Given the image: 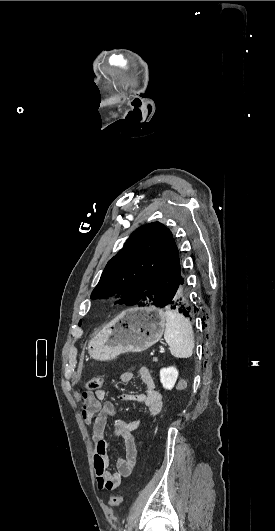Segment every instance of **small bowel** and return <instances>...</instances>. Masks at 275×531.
I'll list each match as a JSON object with an SVG mask.
<instances>
[{
    "label": "small bowel",
    "instance_id": "small-bowel-1",
    "mask_svg": "<svg viewBox=\"0 0 275 531\" xmlns=\"http://www.w3.org/2000/svg\"><path fill=\"white\" fill-rule=\"evenodd\" d=\"M139 377L145 387L143 393L128 392L123 394L125 402L141 403L151 417H156L162 409V395L156 387L150 370L146 367L139 369ZM133 379L130 371L120 376L122 383H129ZM106 391L100 389L95 392L84 393L82 400L84 409L82 417L87 425H92V440L94 444L93 464L100 489L114 490L118 488L122 479L129 477L137 461V446L133 432L138 428L141 420L114 421V435L124 442L125 453L121 455L111 442L105 438V428L109 417L116 416L115 404L105 400ZM115 453V469H110V455Z\"/></svg>",
    "mask_w": 275,
    "mask_h": 531
}]
</instances>
